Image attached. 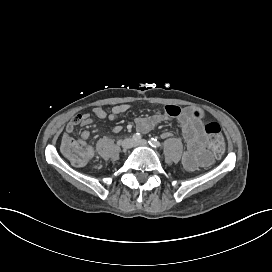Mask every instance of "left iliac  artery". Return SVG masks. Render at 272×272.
Masks as SVG:
<instances>
[{
	"mask_svg": "<svg viewBox=\"0 0 272 272\" xmlns=\"http://www.w3.org/2000/svg\"><path fill=\"white\" fill-rule=\"evenodd\" d=\"M148 143L152 146V147H160L161 146V143L155 139V138H150Z\"/></svg>",
	"mask_w": 272,
	"mask_h": 272,
	"instance_id": "obj_1",
	"label": "left iliac artery"
}]
</instances>
